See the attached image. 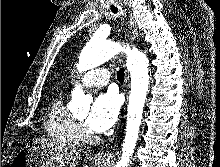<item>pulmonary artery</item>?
<instances>
[{
	"instance_id": "pulmonary-artery-1",
	"label": "pulmonary artery",
	"mask_w": 220,
	"mask_h": 167,
	"mask_svg": "<svg viewBox=\"0 0 220 167\" xmlns=\"http://www.w3.org/2000/svg\"><path fill=\"white\" fill-rule=\"evenodd\" d=\"M79 81L87 87H102L109 83L110 75L105 68H96L84 73Z\"/></svg>"
}]
</instances>
